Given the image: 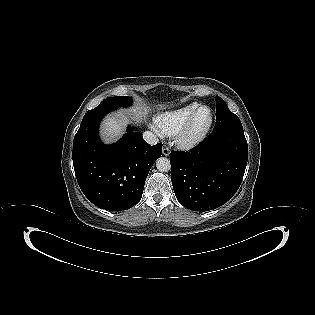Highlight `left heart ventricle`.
<instances>
[{"instance_id": "obj_1", "label": "left heart ventricle", "mask_w": 315, "mask_h": 315, "mask_svg": "<svg viewBox=\"0 0 315 315\" xmlns=\"http://www.w3.org/2000/svg\"><path fill=\"white\" fill-rule=\"evenodd\" d=\"M209 119V111L206 109L201 110L195 119L193 125V133H198L199 131H201L207 125Z\"/></svg>"}]
</instances>
